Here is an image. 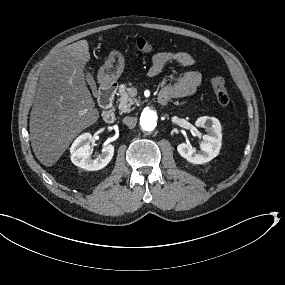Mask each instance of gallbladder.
I'll return each instance as SVG.
<instances>
[{
  "label": "gallbladder",
  "mask_w": 285,
  "mask_h": 285,
  "mask_svg": "<svg viewBox=\"0 0 285 285\" xmlns=\"http://www.w3.org/2000/svg\"><path fill=\"white\" fill-rule=\"evenodd\" d=\"M88 81H92V76H87Z\"/></svg>",
  "instance_id": "obj_1"
}]
</instances>
